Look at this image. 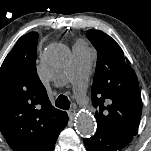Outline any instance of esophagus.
I'll list each match as a JSON object with an SVG mask.
<instances>
[{"label":"esophagus","mask_w":151,"mask_h":151,"mask_svg":"<svg viewBox=\"0 0 151 151\" xmlns=\"http://www.w3.org/2000/svg\"><path fill=\"white\" fill-rule=\"evenodd\" d=\"M68 114H69V117H70L71 120L74 119V117H75V115H76L75 109H71V110L68 112Z\"/></svg>","instance_id":"esophagus-1"}]
</instances>
